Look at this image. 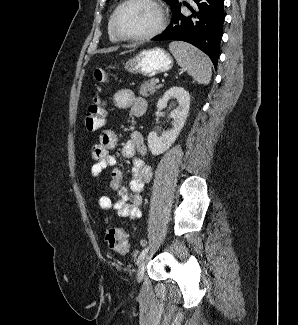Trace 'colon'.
Wrapping results in <instances>:
<instances>
[{
	"label": "colon",
	"instance_id": "obj_1",
	"mask_svg": "<svg viewBox=\"0 0 298 325\" xmlns=\"http://www.w3.org/2000/svg\"><path fill=\"white\" fill-rule=\"evenodd\" d=\"M96 82L98 94L93 100L85 115L84 124L89 132H96L104 126L106 111L103 101L99 95L102 91V85L107 82V72L104 69L97 68L93 73ZM105 241L108 246L119 254H126L129 251V241L126 231L120 227H109L105 231Z\"/></svg>",
	"mask_w": 298,
	"mask_h": 325
}]
</instances>
